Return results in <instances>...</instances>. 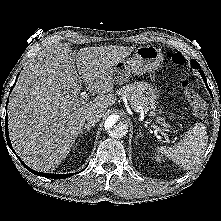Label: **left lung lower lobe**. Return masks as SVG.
I'll return each instance as SVG.
<instances>
[{
	"label": "left lung lower lobe",
	"mask_w": 221,
	"mask_h": 221,
	"mask_svg": "<svg viewBox=\"0 0 221 221\" xmlns=\"http://www.w3.org/2000/svg\"><path fill=\"white\" fill-rule=\"evenodd\" d=\"M198 69H199V72H200V74H201V76H202V78H203V80H204V82H205V84H206L208 90L210 91V89H209V87H208V84H207V80H206V77H205L204 72H203L200 68H198ZM210 92H211V91H210Z\"/></svg>",
	"instance_id": "1"
}]
</instances>
